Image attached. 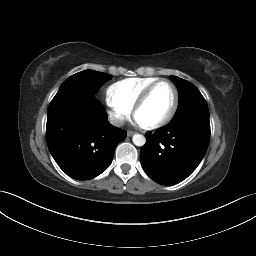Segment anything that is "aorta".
I'll list each match as a JSON object with an SVG mask.
<instances>
[{
	"label": "aorta",
	"mask_w": 256,
	"mask_h": 256,
	"mask_svg": "<svg viewBox=\"0 0 256 256\" xmlns=\"http://www.w3.org/2000/svg\"><path fill=\"white\" fill-rule=\"evenodd\" d=\"M132 141L136 146H143L146 143V138L141 134H135Z\"/></svg>",
	"instance_id": "aorta-1"
}]
</instances>
